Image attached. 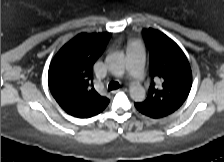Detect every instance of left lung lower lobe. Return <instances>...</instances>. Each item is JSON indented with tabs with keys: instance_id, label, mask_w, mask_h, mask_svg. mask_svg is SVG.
<instances>
[{
	"instance_id": "left-lung-lower-lobe-1",
	"label": "left lung lower lobe",
	"mask_w": 224,
	"mask_h": 162,
	"mask_svg": "<svg viewBox=\"0 0 224 162\" xmlns=\"http://www.w3.org/2000/svg\"><path fill=\"white\" fill-rule=\"evenodd\" d=\"M150 117H152V118H159L158 116H150Z\"/></svg>"
}]
</instances>
